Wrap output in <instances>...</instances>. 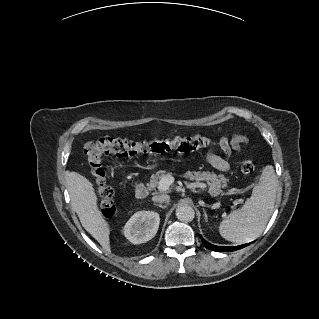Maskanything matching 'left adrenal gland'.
I'll return each instance as SVG.
<instances>
[{
  "mask_svg": "<svg viewBox=\"0 0 319 319\" xmlns=\"http://www.w3.org/2000/svg\"><path fill=\"white\" fill-rule=\"evenodd\" d=\"M203 212H204V216H205V221H206V222H208L207 213H206V211H205V210H203Z\"/></svg>",
  "mask_w": 319,
  "mask_h": 319,
  "instance_id": "1",
  "label": "left adrenal gland"
}]
</instances>
